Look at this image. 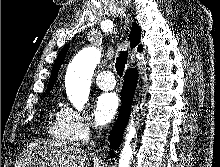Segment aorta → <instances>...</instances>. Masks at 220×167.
Returning a JSON list of instances; mask_svg holds the SVG:
<instances>
[{
  "label": "aorta",
  "instance_id": "aorta-1",
  "mask_svg": "<svg viewBox=\"0 0 220 167\" xmlns=\"http://www.w3.org/2000/svg\"><path fill=\"white\" fill-rule=\"evenodd\" d=\"M101 53L95 47L80 51L69 64L66 73V92L70 102L77 110H82L90 93L91 79L96 65L100 62ZM136 135L133 119L130 121L125 143L121 151L118 167H130L133 158L131 140Z\"/></svg>",
  "mask_w": 220,
  "mask_h": 167
}]
</instances>
